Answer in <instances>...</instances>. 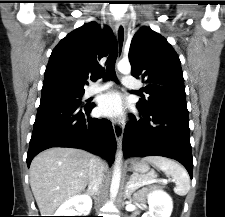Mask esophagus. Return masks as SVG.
<instances>
[{
	"instance_id": "obj_1",
	"label": "esophagus",
	"mask_w": 225,
	"mask_h": 217,
	"mask_svg": "<svg viewBox=\"0 0 225 217\" xmlns=\"http://www.w3.org/2000/svg\"><path fill=\"white\" fill-rule=\"evenodd\" d=\"M126 28L123 21L119 20L116 24V39H117V48L118 56L120 57L123 52V47L125 43ZM113 130L115 138L118 143H120L123 135V126L117 122L113 123Z\"/></svg>"
}]
</instances>
